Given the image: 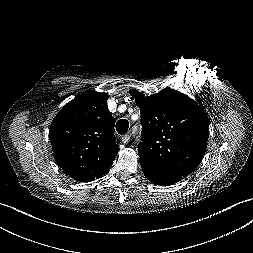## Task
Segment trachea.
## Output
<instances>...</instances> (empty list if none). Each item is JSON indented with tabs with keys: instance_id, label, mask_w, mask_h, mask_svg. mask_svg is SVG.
I'll list each match as a JSON object with an SVG mask.
<instances>
[{
	"instance_id": "obj_1",
	"label": "trachea",
	"mask_w": 253,
	"mask_h": 253,
	"mask_svg": "<svg viewBox=\"0 0 253 253\" xmlns=\"http://www.w3.org/2000/svg\"><path fill=\"white\" fill-rule=\"evenodd\" d=\"M129 122L126 119H120L116 123V130L119 134L123 135L128 131Z\"/></svg>"
}]
</instances>
